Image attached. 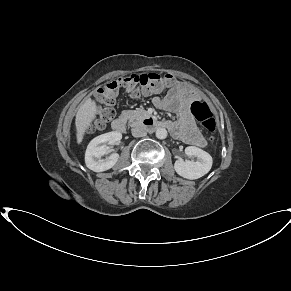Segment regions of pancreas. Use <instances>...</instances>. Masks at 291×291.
<instances>
[{
	"label": "pancreas",
	"mask_w": 291,
	"mask_h": 291,
	"mask_svg": "<svg viewBox=\"0 0 291 291\" xmlns=\"http://www.w3.org/2000/svg\"><path fill=\"white\" fill-rule=\"evenodd\" d=\"M122 116L128 119V123L130 126H136L140 124L143 119L149 116L148 112L143 109L137 110H124L122 112Z\"/></svg>",
	"instance_id": "cf45deb5"
}]
</instances>
